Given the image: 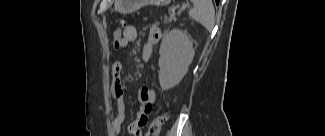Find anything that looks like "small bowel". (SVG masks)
<instances>
[{
  "label": "small bowel",
  "mask_w": 325,
  "mask_h": 136,
  "mask_svg": "<svg viewBox=\"0 0 325 136\" xmlns=\"http://www.w3.org/2000/svg\"><path fill=\"white\" fill-rule=\"evenodd\" d=\"M120 39L113 37L114 45L117 49H124L128 44L135 41L137 38V29L134 25L127 24L120 28ZM161 31L157 26L150 28L145 44L143 45L141 56L144 60H149L153 45L160 39ZM112 72V93L115 99V117L112 122L113 129L116 133L122 130L125 121V94L122 82L123 65L121 62H114L111 66ZM154 91L147 85L140 87L138 92L139 109L135 120L129 126L128 131L135 136L142 135V128L148 122L152 111V104L154 101Z\"/></svg>",
  "instance_id": "1"
}]
</instances>
